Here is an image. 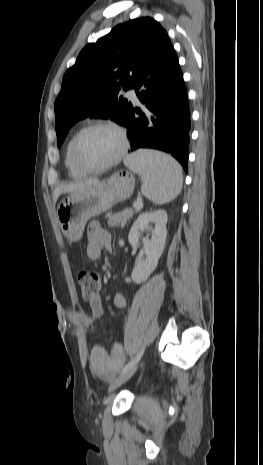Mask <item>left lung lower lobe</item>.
Listing matches in <instances>:
<instances>
[{
  "mask_svg": "<svg viewBox=\"0 0 263 465\" xmlns=\"http://www.w3.org/2000/svg\"><path fill=\"white\" fill-rule=\"evenodd\" d=\"M133 88L146 108H132L123 123L129 130L131 151L162 150L174 156L187 172L190 111L182 72L170 42ZM135 112L140 115L138 118Z\"/></svg>",
  "mask_w": 263,
  "mask_h": 465,
  "instance_id": "1",
  "label": "left lung lower lobe"
}]
</instances>
